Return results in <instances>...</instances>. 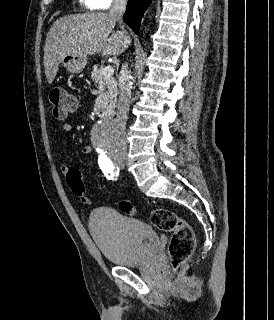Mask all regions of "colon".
<instances>
[{"label":"colon","instance_id":"1","mask_svg":"<svg viewBox=\"0 0 274 320\" xmlns=\"http://www.w3.org/2000/svg\"><path fill=\"white\" fill-rule=\"evenodd\" d=\"M52 114L58 120L66 118L75 109V99L64 88L56 87L49 91ZM66 178L71 191L80 198L86 197L85 176L76 168L69 169ZM120 210L129 216L136 214L135 206L128 200L119 202ZM153 225L163 233L171 234L169 256L174 269H179L192 255L196 247L192 227L168 208L159 207L150 215Z\"/></svg>","mask_w":274,"mask_h":320}]
</instances>
